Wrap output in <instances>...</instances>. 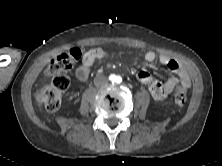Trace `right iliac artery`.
I'll return each mask as SVG.
<instances>
[{"instance_id":"obj_1","label":"right iliac artery","mask_w":222,"mask_h":166,"mask_svg":"<svg viewBox=\"0 0 222 166\" xmlns=\"http://www.w3.org/2000/svg\"><path fill=\"white\" fill-rule=\"evenodd\" d=\"M114 78H115L114 75H111V76L109 77L110 80H113Z\"/></svg>"}]
</instances>
